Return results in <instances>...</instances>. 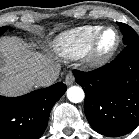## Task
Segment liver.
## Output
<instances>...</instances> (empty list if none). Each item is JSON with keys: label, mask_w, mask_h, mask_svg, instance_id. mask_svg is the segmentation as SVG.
I'll return each instance as SVG.
<instances>
[{"label": "liver", "mask_w": 139, "mask_h": 139, "mask_svg": "<svg viewBox=\"0 0 139 139\" xmlns=\"http://www.w3.org/2000/svg\"><path fill=\"white\" fill-rule=\"evenodd\" d=\"M51 68H59V64L30 50L20 39H0V95L18 96L30 92L37 76Z\"/></svg>", "instance_id": "6515ba94"}]
</instances>
